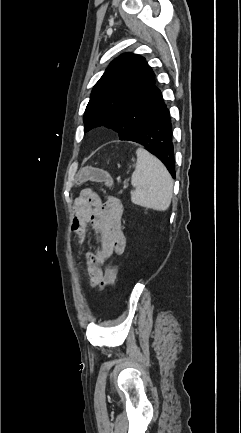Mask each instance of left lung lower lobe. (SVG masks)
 <instances>
[{"instance_id": "0a47b994", "label": "left lung lower lobe", "mask_w": 241, "mask_h": 433, "mask_svg": "<svg viewBox=\"0 0 241 433\" xmlns=\"http://www.w3.org/2000/svg\"><path fill=\"white\" fill-rule=\"evenodd\" d=\"M172 132L170 112L164 103L142 129L130 135L126 140L143 145L165 164L170 174L175 178Z\"/></svg>"}]
</instances>
